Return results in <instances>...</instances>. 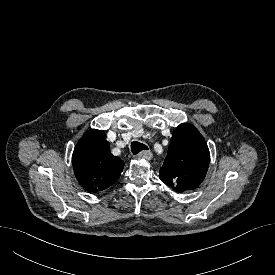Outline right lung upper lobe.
I'll list each match as a JSON object with an SVG mask.
<instances>
[{
    "instance_id": "obj_1",
    "label": "right lung upper lobe",
    "mask_w": 275,
    "mask_h": 275,
    "mask_svg": "<svg viewBox=\"0 0 275 275\" xmlns=\"http://www.w3.org/2000/svg\"><path fill=\"white\" fill-rule=\"evenodd\" d=\"M72 165L78 182L88 191L98 192L119 178L124 162L110 152L104 131L92 129L78 141Z\"/></svg>"
}]
</instances>
